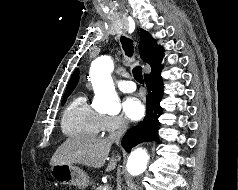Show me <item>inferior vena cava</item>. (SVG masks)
<instances>
[{"label": "inferior vena cava", "instance_id": "602c4592", "mask_svg": "<svg viewBox=\"0 0 238 190\" xmlns=\"http://www.w3.org/2000/svg\"><path fill=\"white\" fill-rule=\"evenodd\" d=\"M128 129V122L125 119H122L120 121V125L119 128L117 129V131L111 133L108 136V139L112 142H115L116 144H119L121 137L123 136V134L126 132V130ZM120 184V182H119Z\"/></svg>", "mask_w": 238, "mask_h": 190}]
</instances>
